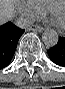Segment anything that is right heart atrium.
<instances>
[{
    "mask_svg": "<svg viewBox=\"0 0 65 89\" xmlns=\"http://www.w3.org/2000/svg\"><path fill=\"white\" fill-rule=\"evenodd\" d=\"M17 11L27 20L31 21L43 15L33 3L30 1H18L16 6Z\"/></svg>",
    "mask_w": 65,
    "mask_h": 89,
    "instance_id": "right-heart-atrium-1",
    "label": "right heart atrium"
}]
</instances>
